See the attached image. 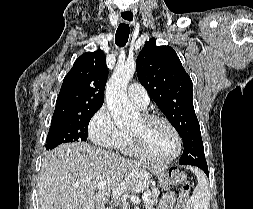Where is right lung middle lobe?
<instances>
[{"label":"right lung middle lobe","instance_id":"dd1d6c3e","mask_svg":"<svg viewBox=\"0 0 253 209\" xmlns=\"http://www.w3.org/2000/svg\"><path fill=\"white\" fill-rule=\"evenodd\" d=\"M98 110L93 109L78 115L52 118L46 139V149L51 150L62 143L86 141L88 124Z\"/></svg>","mask_w":253,"mask_h":209}]
</instances>
